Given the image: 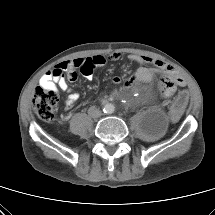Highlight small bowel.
<instances>
[{
  "label": "small bowel",
  "mask_w": 215,
  "mask_h": 215,
  "mask_svg": "<svg viewBox=\"0 0 215 215\" xmlns=\"http://www.w3.org/2000/svg\"><path fill=\"white\" fill-rule=\"evenodd\" d=\"M121 58V54L118 52L111 53L108 57L102 55H96L88 58H76L60 63L54 69L47 71L40 79L41 87L50 89L57 92L58 88L69 93L65 105L67 109H71L73 104L78 100L79 94L73 92L69 87L68 82H74L77 79V70H80L82 75L87 79L93 78V71L95 68L104 66L107 61H117ZM129 59L132 62L144 65L147 63H153L157 66L158 70H151L141 66L135 72L130 82L127 84H139L151 82L154 79L155 74L161 73L164 75V79L169 76H173L174 71L165 62L153 59L147 56H140L131 54ZM66 74V76H65ZM176 76V75H175ZM119 78H113L114 83H119ZM183 86L184 81L178 77L176 86ZM175 90V88H174ZM173 90V92H174ZM172 92V93H173ZM171 94L162 92L164 98L169 97Z\"/></svg>",
  "instance_id": "obj_1"
}]
</instances>
